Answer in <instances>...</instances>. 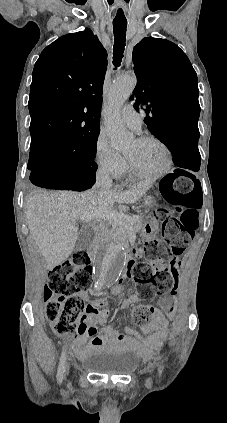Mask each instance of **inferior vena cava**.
<instances>
[{
	"label": "inferior vena cava",
	"instance_id": "602c4592",
	"mask_svg": "<svg viewBox=\"0 0 227 423\" xmlns=\"http://www.w3.org/2000/svg\"><path fill=\"white\" fill-rule=\"evenodd\" d=\"M113 186V180L109 176V170L105 164H100L96 172V184L95 188H101V190H110Z\"/></svg>",
	"mask_w": 227,
	"mask_h": 423
}]
</instances>
